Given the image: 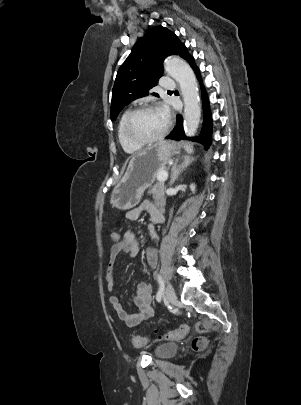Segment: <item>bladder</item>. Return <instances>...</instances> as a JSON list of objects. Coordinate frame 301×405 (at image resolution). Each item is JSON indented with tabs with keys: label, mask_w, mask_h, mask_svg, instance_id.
I'll list each match as a JSON object with an SVG mask.
<instances>
[{
	"label": "bladder",
	"mask_w": 301,
	"mask_h": 405,
	"mask_svg": "<svg viewBox=\"0 0 301 405\" xmlns=\"http://www.w3.org/2000/svg\"><path fill=\"white\" fill-rule=\"evenodd\" d=\"M175 351H176V345H174L172 343H164V344L157 346V348H156V354L162 358L171 356Z\"/></svg>",
	"instance_id": "obj_1"
}]
</instances>
